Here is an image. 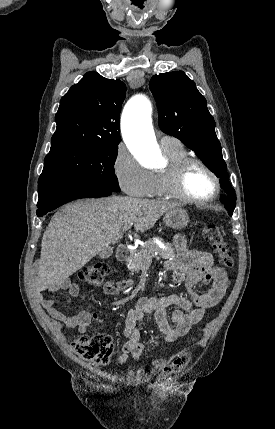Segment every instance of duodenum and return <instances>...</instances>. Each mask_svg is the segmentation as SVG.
<instances>
[{
  "label": "duodenum",
  "instance_id": "1",
  "mask_svg": "<svg viewBox=\"0 0 275 429\" xmlns=\"http://www.w3.org/2000/svg\"><path fill=\"white\" fill-rule=\"evenodd\" d=\"M131 256V249L127 245H120L117 249V259L127 261Z\"/></svg>",
  "mask_w": 275,
  "mask_h": 429
}]
</instances>
